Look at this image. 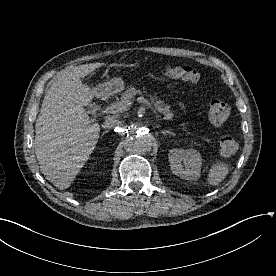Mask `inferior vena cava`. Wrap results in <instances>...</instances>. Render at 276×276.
I'll return each mask as SVG.
<instances>
[{
  "label": "inferior vena cava",
  "mask_w": 276,
  "mask_h": 276,
  "mask_svg": "<svg viewBox=\"0 0 276 276\" xmlns=\"http://www.w3.org/2000/svg\"><path fill=\"white\" fill-rule=\"evenodd\" d=\"M120 125H121V121L114 119V118H109L104 122L102 127L107 128V129H112V128L120 126Z\"/></svg>",
  "instance_id": "602c4592"
}]
</instances>
